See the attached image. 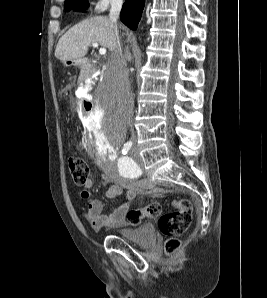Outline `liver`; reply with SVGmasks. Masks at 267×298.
Masks as SVG:
<instances>
[{
  "instance_id": "liver-1",
  "label": "liver",
  "mask_w": 267,
  "mask_h": 298,
  "mask_svg": "<svg viewBox=\"0 0 267 298\" xmlns=\"http://www.w3.org/2000/svg\"><path fill=\"white\" fill-rule=\"evenodd\" d=\"M117 37V28L108 17H91L74 25L59 39L55 57L62 62L80 61L94 42L112 51Z\"/></svg>"
}]
</instances>
